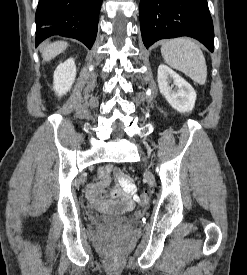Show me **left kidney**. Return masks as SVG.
Here are the masks:
<instances>
[{
	"instance_id": "5707ae66",
	"label": "left kidney",
	"mask_w": 247,
	"mask_h": 275,
	"mask_svg": "<svg viewBox=\"0 0 247 275\" xmlns=\"http://www.w3.org/2000/svg\"><path fill=\"white\" fill-rule=\"evenodd\" d=\"M158 86L160 93L175 110L181 113L192 111L196 101L194 88L164 64L158 67Z\"/></svg>"
}]
</instances>
